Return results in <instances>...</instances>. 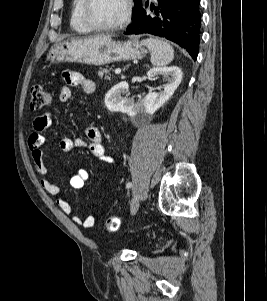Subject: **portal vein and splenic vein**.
<instances>
[{
    "label": "portal vein and splenic vein",
    "mask_w": 267,
    "mask_h": 301,
    "mask_svg": "<svg viewBox=\"0 0 267 301\" xmlns=\"http://www.w3.org/2000/svg\"><path fill=\"white\" fill-rule=\"evenodd\" d=\"M121 72H122L121 68H116L115 69V74H121Z\"/></svg>",
    "instance_id": "portal-vein-and-splenic-vein-1"
}]
</instances>
